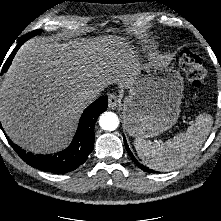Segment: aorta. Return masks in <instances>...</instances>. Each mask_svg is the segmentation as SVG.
Instances as JSON below:
<instances>
[{"label":"aorta","instance_id":"obj_1","mask_svg":"<svg viewBox=\"0 0 221 221\" xmlns=\"http://www.w3.org/2000/svg\"><path fill=\"white\" fill-rule=\"evenodd\" d=\"M99 125L104 130L113 131L119 125V118L113 112H105L99 118Z\"/></svg>","mask_w":221,"mask_h":221}]
</instances>
